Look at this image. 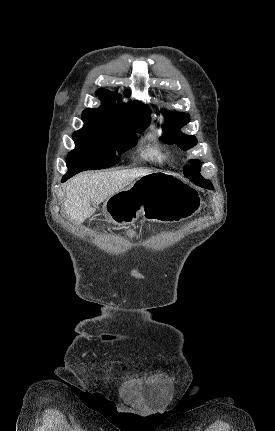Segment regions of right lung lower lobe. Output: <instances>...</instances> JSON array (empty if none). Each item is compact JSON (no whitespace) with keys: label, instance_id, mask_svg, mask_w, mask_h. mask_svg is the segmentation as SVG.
I'll return each instance as SVG.
<instances>
[{"label":"right lung lower lobe","instance_id":"98d812e1","mask_svg":"<svg viewBox=\"0 0 275 431\" xmlns=\"http://www.w3.org/2000/svg\"><path fill=\"white\" fill-rule=\"evenodd\" d=\"M73 175H75L74 173L73 174H66L65 176H63V178H62V182H64V181H66L67 179H69L70 177H72Z\"/></svg>","mask_w":275,"mask_h":431}]
</instances>
